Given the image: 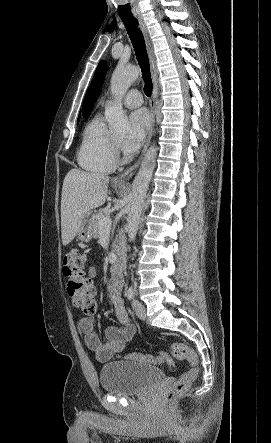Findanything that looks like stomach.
I'll list each match as a JSON object with an SVG mask.
<instances>
[{
  "label": "stomach",
  "instance_id": "1",
  "mask_svg": "<svg viewBox=\"0 0 271 443\" xmlns=\"http://www.w3.org/2000/svg\"><path fill=\"white\" fill-rule=\"evenodd\" d=\"M115 190H122V188H115ZM77 237L80 239V241H90V239H92L93 225L91 218H88V216H85L80 223V229L77 233Z\"/></svg>",
  "mask_w": 271,
  "mask_h": 443
}]
</instances>
